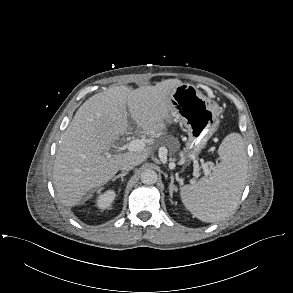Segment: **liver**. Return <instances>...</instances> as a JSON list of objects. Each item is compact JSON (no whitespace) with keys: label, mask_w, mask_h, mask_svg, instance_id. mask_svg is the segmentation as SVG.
Masks as SVG:
<instances>
[{"label":"liver","mask_w":293,"mask_h":293,"mask_svg":"<svg viewBox=\"0 0 293 293\" xmlns=\"http://www.w3.org/2000/svg\"><path fill=\"white\" fill-rule=\"evenodd\" d=\"M181 84L178 79H168L132 91L115 86L86 100L62 134L56 153L53 184L61 204L69 208L79 205L87 192L113 178L125 158L136 165L144 162L151 148L109 154L111 144L128 130L126 104L144 134L159 136L172 123L170 93Z\"/></svg>","instance_id":"6515ba94"}]
</instances>
